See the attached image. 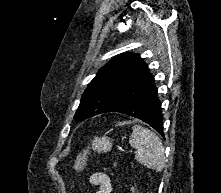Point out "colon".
I'll use <instances>...</instances> for the list:
<instances>
[{
  "mask_svg": "<svg viewBox=\"0 0 221 193\" xmlns=\"http://www.w3.org/2000/svg\"><path fill=\"white\" fill-rule=\"evenodd\" d=\"M87 159H88V151L82 152L77 157V160L75 162V171H76V173H81L83 171Z\"/></svg>",
  "mask_w": 221,
  "mask_h": 193,
  "instance_id": "obj_1",
  "label": "colon"
}]
</instances>
